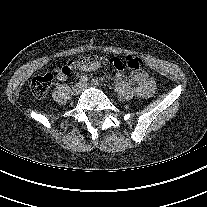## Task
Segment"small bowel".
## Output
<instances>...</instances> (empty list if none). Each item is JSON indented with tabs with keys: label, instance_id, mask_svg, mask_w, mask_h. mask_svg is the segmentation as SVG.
<instances>
[{
	"label": "small bowel",
	"instance_id": "1",
	"mask_svg": "<svg viewBox=\"0 0 207 207\" xmlns=\"http://www.w3.org/2000/svg\"><path fill=\"white\" fill-rule=\"evenodd\" d=\"M109 64L114 67L117 71L116 78L122 83L134 84L136 85L135 93L141 98H149L155 90V83L151 77L147 74H134L129 79H127L123 74V62L118 57H112L109 61ZM102 65L100 60L80 63L77 65V68L82 71L91 72L99 69ZM57 77L60 80H65L69 72H63L61 69H57Z\"/></svg>",
	"mask_w": 207,
	"mask_h": 207
}]
</instances>
